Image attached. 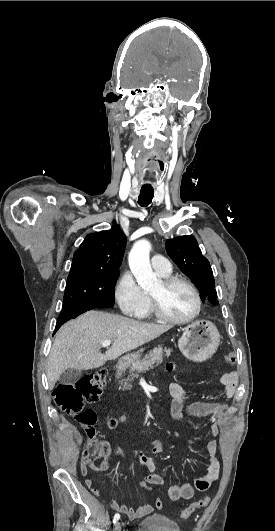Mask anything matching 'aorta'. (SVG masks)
Wrapping results in <instances>:
<instances>
[{
  "label": "aorta",
  "mask_w": 275,
  "mask_h": 531,
  "mask_svg": "<svg viewBox=\"0 0 275 531\" xmlns=\"http://www.w3.org/2000/svg\"><path fill=\"white\" fill-rule=\"evenodd\" d=\"M150 251L151 243L146 239H141V241L134 243L128 257L130 271L143 291H153V289H161L162 287L161 279H157L151 269Z\"/></svg>",
  "instance_id": "obj_1"
}]
</instances>
